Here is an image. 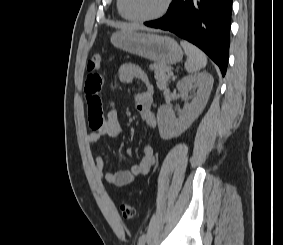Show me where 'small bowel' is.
Here are the masks:
<instances>
[{"label":"small bowel","instance_id":"obj_1","mask_svg":"<svg viewBox=\"0 0 283 245\" xmlns=\"http://www.w3.org/2000/svg\"><path fill=\"white\" fill-rule=\"evenodd\" d=\"M117 76L121 83H132L136 80L144 85V91L136 94L134 100L142 122L149 128L154 129L156 119L151 109L154 90L146 73L139 66L132 63H123L117 69ZM103 85L104 78L98 73H90L84 84L89 125L92 130L88 135L90 143H97L104 136L117 138L122 133L117 110L112 108L106 114L103 113L100 99ZM129 154H132L131 150ZM154 163V148L152 145L146 144L143 147L139 163L131 166L128 170L107 171L104 169L103 158L97 156L94 159V173L100 182L120 187L131 183L140 175H146Z\"/></svg>","mask_w":283,"mask_h":245}]
</instances>
